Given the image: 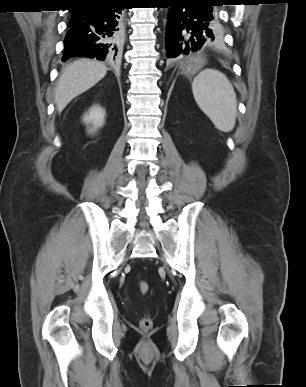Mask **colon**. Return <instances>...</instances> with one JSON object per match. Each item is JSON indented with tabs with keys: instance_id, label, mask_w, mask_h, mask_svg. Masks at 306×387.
<instances>
[{
	"instance_id": "5ec220e1",
	"label": "colon",
	"mask_w": 306,
	"mask_h": 387,
	"mask_svg": "<svg viewBox=\"0 0 306 387\" xmlns=\"http://www.w3.org/2000/svg\"><path fill=\"white\" fill-rule=\"evenodd\" d=\"M138 289L141 294L145 295L149 292L150 286L146 281L141 280L138 282ZM152 326H153V321L151 318L144 317L140 320V327L142 330L148 331L152 328Z\"/></svg>"
}]
</instances>
